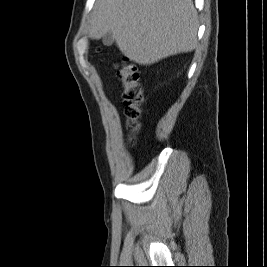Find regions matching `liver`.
<instances>
[{"instance_id":"liver-1","label":"liver","mask_w":267,"mask_h":267,"mask_svg":"<svg viewBox=\"0 0 267 267\" xmlns=\"http://www.w3.org/2000/svg\"><path fill=\"white\" fill-rule=\"evenodd\" d=\"M198 26L192 0H96L89 35L112 33L126 57L150 65L194 50Z\"/></svg>"}]
</instances>
